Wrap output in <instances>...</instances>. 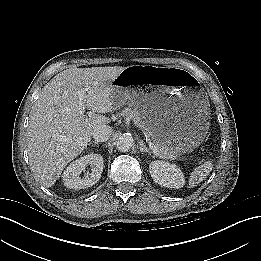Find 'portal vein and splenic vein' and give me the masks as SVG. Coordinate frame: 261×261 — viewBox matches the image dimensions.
Returning a JSON list of instances; mask_svg holds the SVG:
<instances>
[{
  "instance_id": "1",
  "label": "portal vein and splenic vein",
  "mask_w": 261,
  "mask_h": 261,
  "mask_svg": "<svg viewBox=\"0 0 261 261\" xmlns=\"http://www.w3.org/2000/svg\"><path fill=\"white\" fill-rule=\"evenodd\" d=\"M79 107H80V110H81L80 112L83 113V112H84V109H85V102L80 101ZM89 114H92V113L89 112ZM148 145H149V148L152 150V152H153V154H154L155 156L162 157V156L160 155V152H159L158 148L156 147V145H155L153 142H151L150 139H148Z\"/></svg>"
}]
</instances>
